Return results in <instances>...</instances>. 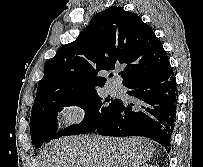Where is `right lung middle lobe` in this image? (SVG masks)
I'll list each match as a JSON object with an SVG mask.
<instances>
[{"label": "right lung middle lobe", "mask_w": 203, "mask_h": 167, "mask_svg": "<svg viewBox=\"0 0 203 167\" xmlns=\"http://www.w3.org/2000/svg\"><path fill=\"white\" fill-rule=\"evenodd\" d=\"M119 99L99 97L97 91L73 96L61 97L50 100L42 106L32 110L30 117V132L32 142L37 146L61 136L87 134L94 132L101 121L111 113ZM72 104L81 106L85 111L83 121L56 133L57 115L64 106Z\"/></svg>", "instance_id": "right-lung-middle-lobe-1"}]
</instances>
